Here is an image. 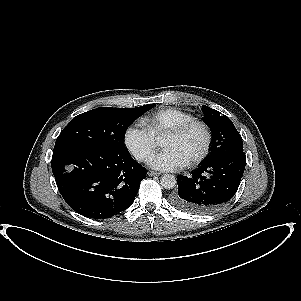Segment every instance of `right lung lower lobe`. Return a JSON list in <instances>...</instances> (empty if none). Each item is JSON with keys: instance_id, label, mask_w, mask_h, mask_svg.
Segmentation results:
<instances>
[{"instance_id": "98d812e1", "label": "right lung lower lobe", "mask_w": 301, "mask_h": 301, "mask_svg": "<svg viewBox=\"0 0 301 301\" xmlns=\"http://www.w3.org/2000/svg\"><path fill=\"white\" fill-rule=\"evenodd\" d=\"M52 172L59 192L77 213L106 219L134 201L146 169L128 152L80 145L53 151Z\"/></svg>"}]
</instances>
